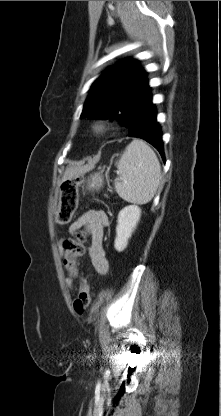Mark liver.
<instances>
[{"label": "liver", "mask_w": 221, "mask_h": 416, "mask_svg": "<svg viewBox=\"0 0 221 416\" xmlns=\"http://www.w3.org/2000/svg\"><path fill=\"white\" fill-rule=\"evenodd\" d=\"M91 168V166L89 165H85V166H73V167H69L66 168L63 178H62V182L71 179L75 176H79L85 172H87L89 169Z\"/></svg>", "instance_id": "6515ba94"}]
</instances>
